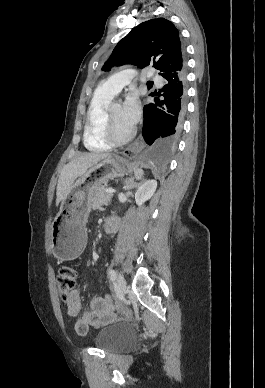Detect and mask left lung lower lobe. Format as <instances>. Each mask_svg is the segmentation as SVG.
Masks as SVG:
<instances>
[{
    "label": "left lung lower lobe",
    "mask_w": 265,
    "mask_h": 388,
    "mask_svg": "<svg viewBox=\"0 0 265 388\" xmlns=\"http://www.w3.org/2000/svg\"><path fill=\"white\" fill-rule=\"evenodd\" d=\"M165 85L153 104L144 107L143 137L147 143L145 159L159 169L167 166L172 148L182 130L186 110V68L164 77Z\"/></svg>",
    "instance_id": "obj_1"
}]
</instances>
